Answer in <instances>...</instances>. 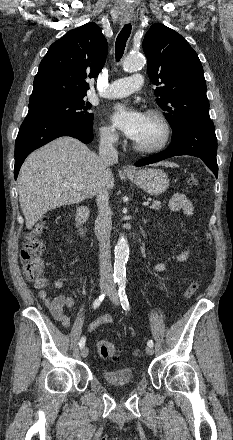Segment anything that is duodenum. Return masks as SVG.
<instances>
[{"instance_id":"duodenum-1","label":"duodenum","mask_w":233,"mask_h":440,"mask_svg":"<svg viewBox=\"0 0 233 440\" xmlns=\"http://www.w3.org/2000/svg\"><path fill=\"white\" fill-rule=\"evenodd\" d=\"M89 216V209L87 207H81L76 211L75 219H74V226L75 231L81 238H86V230L84 227V224ZM137 233H133L132 237L136 238Z\"/></svg>"}]
</instances>
